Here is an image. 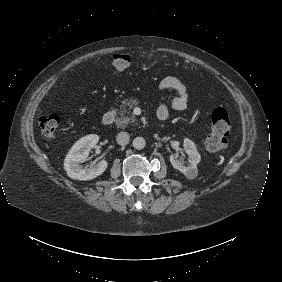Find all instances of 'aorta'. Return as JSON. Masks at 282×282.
<instances>
[{"instance_id": "1", "label": "aorta", "mask_w": 282, "mask_h": 282, "mask_svg": "<svg viewBox=\"0 0 282 282\" xmlns=\"http://www.w3.org/2000/svg\"><path fill=\"white\" fill-rule=\"evenodd\" d=\"M132 145L135 149L141 150L146 146V141L143 137H135L132 141Z\"/></svg>"}]
</instances>
